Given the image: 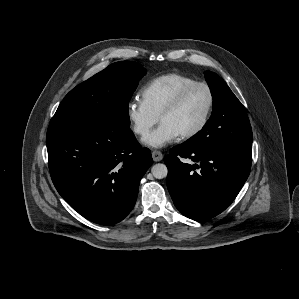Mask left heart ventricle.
<instances>
[{
    "label": "left heart ventricle",
    "mask_w": 299,
    "mask_h": 299,
    "mask_svg": "<svg viewBox=\"0 0 299 299\" xmlns=\"http://www.w3.org/2000/svg\"><path fill=\"white\" fill-rule=\"evenodd\" d=\"M208 105V95L204 88L192 89L182 103L165 115L161 122L167 123L181 135L195 128L202 120Z\"/></svg>",
    "instance_id": "b2bd125f"
}]
</instances>
